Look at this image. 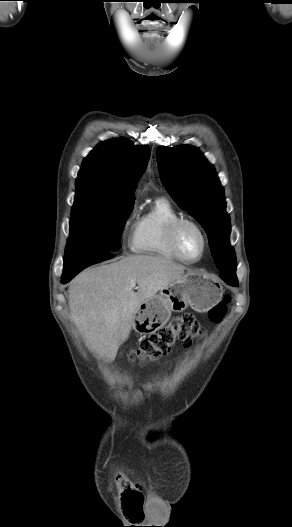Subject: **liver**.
Here are the masks:
<instances>
[{"instance_id": "6515ba94", "label": "liver", "mask_w": 292, "mask_h": 527, "mask_svg": "<svg viewBox=\"0 0 292 527\" xmlns=\"http://www.w3.org/2000/svg\"><path fill=\"white\" fill-rule=\"evenodd\" d=\"M185 269L150 255H129L87 269L70 283V320L92 352L113 361L130 335L137 308L183 276ZM132 281L138 285L137 292Z\"/></svg>"}]
</instances>
